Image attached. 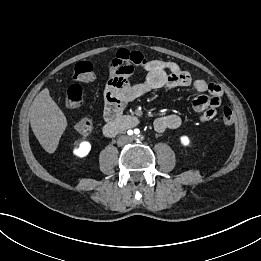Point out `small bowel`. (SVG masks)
<instances>
[{
	"label": "small bowel",
	"mask_w": 261,
	"mask_h": 261,
	"mask_svg": "<svg viewBox=\"0 0 261 261\" xmlns=\"http://www.w3.org/2000/svg\"><path fill=\"white\" fill-rule=\"evenodd\" d=\"M146 77L140 82L128 80L131 70L112 62L108 70V82L105 91V118L117 119L124 106L146 93L161 88L192 87L199 93L192 101L195 111L202 112L200 120L207 122L215 117L221 103L223 91L218 84L194 79L191 74L173 61L153 60L144 66ZM181 118L176 114L157 117L154 128L157 132L176 129Z\"/></svg>",
	"instance_id": "1"
}]
</instances>
